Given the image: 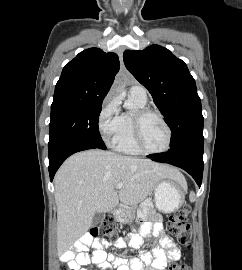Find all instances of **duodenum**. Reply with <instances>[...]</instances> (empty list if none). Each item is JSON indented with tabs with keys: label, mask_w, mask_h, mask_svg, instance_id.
Segmentation results:
<instances>
[{
	"label": "duodenum",
	"mask_w": 242,
	"mask_h": 270,
	"mask_svg": "<svg viewBox=\"0 0 242 270\" xmlns=\"http://www.w3.org/2000/svg\"><path fill=\"white\" fill-rule=\"evenodd\" d=\"M118 214H119V213H118V211H116V210H112L111 212H109V216H110V217H113V218H114V217H117Z\"/></svg>",
	"instance_id": "duodenum-1"
}]
</instances>
